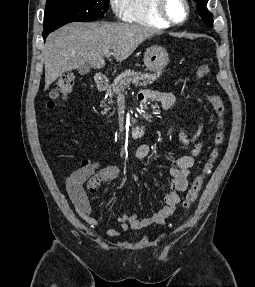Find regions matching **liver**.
I'll list each match as a JSON object with an SVG mask.
<instances>
[{
    "label": "liver",
    "instance_id": "liver-1",
    "mask_svg": "<svg viewBox=\"0 0 255 287\" xmlns=\"http://www.w3.org/2000/svg\"><path fill=\"white\" fill-rule=\"evenodd\" d=\"M157 34L156 30L138 24H82L73 22L50 34L42 52L45 64V88L64 72L81 66L104 68V54L113 50L117 62L127 60L139 44Z\"/></svg>",
    "mask_w": 255,
    "mask_h": 287
}]
</instances>
